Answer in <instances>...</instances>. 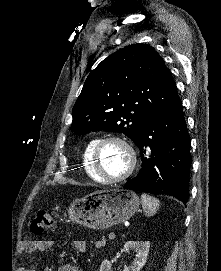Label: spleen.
<instances>
[{
	"instance_id": "3e777b00",
	"label": "spleen",
	"mask_w": 221,
	"mask_h": 271,
	"mask_svg": "<svg viewBox=\"0 0 221 271\" xmlns=\"http://www.w3.org/2000/svg\"><path fill=\"white\" fill-rule=\"evenodd\" d=\"M142 197V207L146 213V215H154L157 213V209H159L160 201L156 199V197H151V195H147V193H143Z\"/></svg>"
}]
</instances>
